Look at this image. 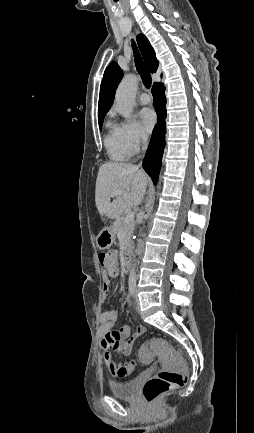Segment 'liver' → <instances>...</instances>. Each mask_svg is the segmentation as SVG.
<instances>
[{
  "label": "liver",
  "instance_id": "1",
  "mask_svg": "<svg viewBox=\"0 0 254 433\" xmlns=\"http://www.w3.org/2000/svg\"><path fill=\"white\" fill-rule=\"evenodd\" d=\"M148 177L131 163L107 162L98 171L95 202L103 221L105 218L115 219L131 206H138L144 197ZM123 192L115 196L111 202V194Z\"/></svg>",
  "mask_w": 254,
  "mask_h": 433
}]
</instances>
